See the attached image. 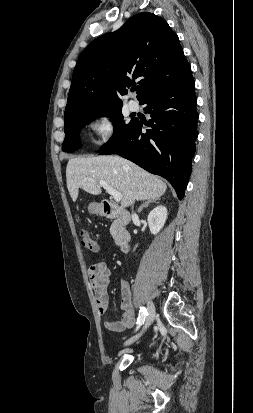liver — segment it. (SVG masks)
<instances>
[{
  "instance_id": "6515ba94",
  "label": "liver",
  "mask_w": 253,
  "mask_h": 413,
  "mask_svg": "<svg viewBox=\"0 0 253 413\" xmlns=\"http://www.w3.org/2000/svg\"><path fill=\"white\" fill-rule=\"evenodd\" d=\"M66 181L73 202L79 188L93 195L101 194L99 181H105L121 193L123 208L135 200L158 199L167 189L161 179L119 156L71 158L66 167Z\"/></svg>"
}]
</instances>
